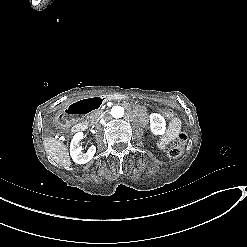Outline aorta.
I'll use <instances>...</instances> for the list:
<instances>
[{
    "label": "aorta",
    "mask_w": 247,
    "mask_h": 247,
    "mask_svg": "<svg viewBox=\"0 0 247 247\" xmlns=\"http://www.w3.org/2000/svg\"><path fill=\"white\" fill-rule=\"evenodd\" d=\"M111 115L114 118H121L124 115V108L122 106H113L111 109Z\"/></svg>",
    "instance_id": "aorta-1"
}]
</instances>
